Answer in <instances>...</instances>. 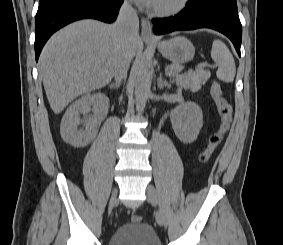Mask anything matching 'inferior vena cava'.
Instances as JSON below:
<instances>
[{"mask_svg": "<svg viewBox=\"0 0 283 245\" xmlns=\"http://www.w3.org/2000/svg\"><path fill=\"white\" fill-rule=\"evenodd\" d=\"M139 19L132 6L125 2L119 11L114 28L121 41V50L115 66L114 77L116 83L121 82L126 77L130 63L131 53L129 51L130 43L138 32Z\"/></svg>", "mask_w": 283, "mask_h": 245, "instance_id": "602c4592", "label": "inferior vena cava"}]
</instances>
